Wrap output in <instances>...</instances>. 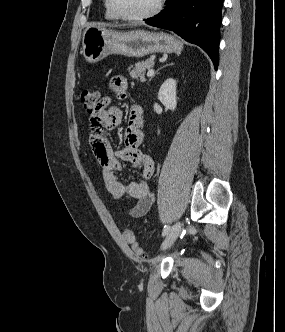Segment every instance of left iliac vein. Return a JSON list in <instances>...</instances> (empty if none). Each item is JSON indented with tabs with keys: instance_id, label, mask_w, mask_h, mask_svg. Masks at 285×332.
<instances>
[{
	"instance_id": "left-iliac-vein-1",
	"label": "left iliac vein",
	"mask_w": 285,
	"mask_h": 332,
	"mask_svg": "<svg viewBox=\"0 0 285 332\" xmlns=\"http://www.w3.org/2000/svg\"><path fill=\"white\" fill-rule=\"evenodd\" d=\"M180 231H181V222L177 221L169 230L166 238L164 239L161 245V249L162 250L168 249L174 243Z\"/></svg>"
}]
</instances>
